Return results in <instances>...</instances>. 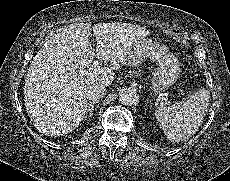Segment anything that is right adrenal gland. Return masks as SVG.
Returning a JSON list of instances; mask_svg holds the SVG:
<instances>
[{
  "label": "right adrenal gland",
  "instance_id": "obj_1",
  "mask_svg": "<svg viewBox=\"0 0 230 181\" xmlns=\"http://www.w3.org/2000/svg\"><path fill=\"white\" fill-rule=\"evenodd\" d=\"M98 101H93L91 102L89 105H88V110L87 112L89 113V115H92L93 114V111H94V105L97 104Z\"/></svg>",
  "mask_w": 230,
  "mask_h": 181
}]
</instances>
